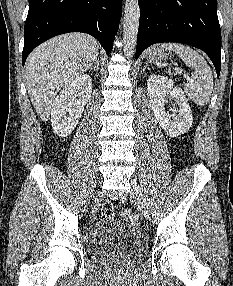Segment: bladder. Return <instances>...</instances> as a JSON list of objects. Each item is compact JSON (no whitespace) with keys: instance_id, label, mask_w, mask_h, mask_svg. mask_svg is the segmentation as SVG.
<instances>
[{"instance_id":"1","label":"bladder","mask_w":233,"mask_h":286,"mask_svg":"<svg viewBox=\"0 0 233 286\" xmlns=\"http://www.w3.org/2000/svg\"><path fill=\"white\" fill-rule=\"evenodd\" d=\"M146 248L145 236L138 228L115 218L101 219L92 230L90 253L94 257L121 253L137 259L145 254Z\"/></svg>"}]
</instances>
